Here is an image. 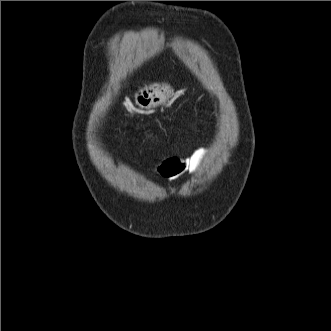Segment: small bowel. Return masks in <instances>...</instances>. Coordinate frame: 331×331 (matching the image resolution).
Returning a JSON list of instances; mask_svg holds the SVG:
<instances>
[{
	"instance_id": "c3829d8e",
	"label": "small bowel",
	"mask_w": 331,
	"mask_h": 331,
	"mask_svg": "<svg viewBox=\"0 0 331 331\" xmlns=\"http://www.w3.org/2000/svg\"><path fill=\"white\" fill-rule=\"evenodd\" d=\"M206 149L200 147L193 151L191 155L185 158L172 157L162 161L157 166V172L160 176L167 180H173L183 173H193L201 165L205 155Z\"/></svg>"
}]
</instances>
